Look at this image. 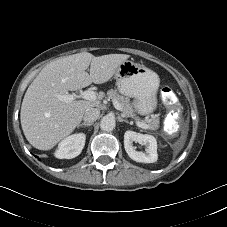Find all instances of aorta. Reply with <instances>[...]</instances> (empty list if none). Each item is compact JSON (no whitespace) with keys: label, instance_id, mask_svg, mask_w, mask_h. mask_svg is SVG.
<instances>
[{"label":"aorta","instance_id":"obj_1","mask_svg":"<svg viewBox=\"0 0 227 227\" xmlns=\"http://www.w3.org/2000/svg\"><path fill=\"white\" fill-rule=\"evenodd\" d=\"M115 126H116V122L114 117L107 115L101 119L100 128L103 131H106V132L112 131L115 128Z\"/></svg>","mask_w":227,"mask_h":227}]
</instances>
